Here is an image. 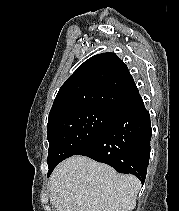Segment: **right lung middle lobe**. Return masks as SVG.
Masks as SVG:
<instances>
[{
    "label": "right lung middle lobe",
    "mask_w": 179,
    "mask_h": 211,
    "mask_svg": "<svg viewBox=\"0 0 179 211\" xmlns=\"http://www.w3.org/2000/svg\"><path fill=\"white\" fill-rule=\"evenodd\" d=\"M116 110L92 108L63 116L47 126L48 174L62 160L96 140L116 115Z\"/></svg>",
    "instance_id": "1"
}]
</instances>
